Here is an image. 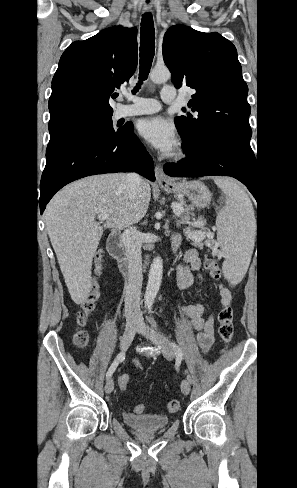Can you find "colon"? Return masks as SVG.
I'll return each instance as SVG.
<instances>
[{
	"label": "colon",
	"instance_id": "obj_1",
	"mask_svg": "<svg viewBox=\"0 0 297 488\" xmlns=\"http://www.w3.org/2000/svg\"><path fill=\"white\" fill-rule=\"evenodd\" d=\"M103 258H104V252L100 250L96 255V266H97L96 270L98 274L101 271ZM204 267L213 279L218 280L220 278V268L215 258H213L210 255H206L204 259ZM98 297H99V285L98 282L95 280L90 287L88 295L86 296L85 300L81 305L80 311L77 314V323L80 327H83L85 325L87 318L95 308V304L98 300ZM218 322H219L218 332H219L220 339L224 344V346L227 347L231 342L234 334L233 313L230 304H226L222 307L221 311L219 312ZM73 340H74V344L78 348H83L87 344L88 335L84 330L79 329L75 333ZM128 385H129V376L126 374H121L119 376L118 388H119V392L122 395L127 394L126 387ZM144 408L145 406L143 404H138L134 407L133 411L135 413H141L144 411ZM167 409L170 413L177 412L180 409L179 400L177 399L171 400L167 404Z\"/></svg>",
	"mask_w": 297,
	"mask_h": 488
}]
</instances>
